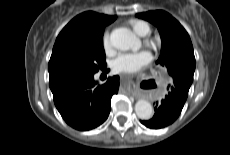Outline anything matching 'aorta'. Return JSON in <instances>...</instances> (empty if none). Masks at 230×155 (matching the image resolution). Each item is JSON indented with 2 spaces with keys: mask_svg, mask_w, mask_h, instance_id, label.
Masks as SVG:
<instances>
[{
  "mask_svg": "<svg viewBox=\"0 0 230 155\" xmlns=\"http://www.w3.org/2000/svg\"><path fill=\"white\" fill-rule=\"evenodd\" d=\"M110 42L120 50H128L139 44L134 33L125 27L114 29L110 34ZM135 112L140 119L148 120L153 116V107L147 100L139 99L135 104Z\"/></svg>",
  "mask_w": 230,
  "mask_h": 155,
  "instance_id": "1",
  "label": "aorta"
}]
</instances>
